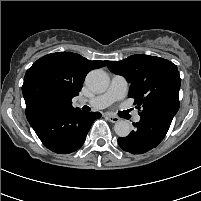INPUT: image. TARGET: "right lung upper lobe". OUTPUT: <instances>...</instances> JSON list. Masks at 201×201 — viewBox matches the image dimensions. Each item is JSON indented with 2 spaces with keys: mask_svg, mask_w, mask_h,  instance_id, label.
<instances>
[{
  "mask_svg": "<svg viewBox=\"0 0 201 201\" xmlns=\"http://www.w3.org/2000/svg\"><path fill=\"white\" fill-rule=\"evenodd\" d=\"M106 65L72 52L51 53L26 72L22 92L26 111L40 106L73 109L72 98L81 91L87 73Z\"/></svg>",
  "mask_w": 201,
  "mask_h": 201,
  "instance_id": "obj_1",
  "label": "right lung upper lobe"
}]
</instances>
